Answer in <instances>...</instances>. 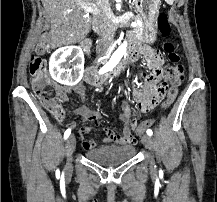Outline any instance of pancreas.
<instances>
[{
    "instance_id": "1",
    "label": "pancreas",
    "mask_w": 217,
    "mask_h": 202,
    "mask_svg": "<svg viewBox=\"0 0 217 202\" xmlns=\"http://www.w3.org/2000/svg\"><path fill=\"white\" fill-rule=\"evenodd\" d=\"M136 20H140L141 22V18H139V16H136ZM133 34H135V36H139L137 38L139 41L144 40V37H140L143 34V28H140V26H136V28H134Z\"/></svg>"
}]
</instances>
